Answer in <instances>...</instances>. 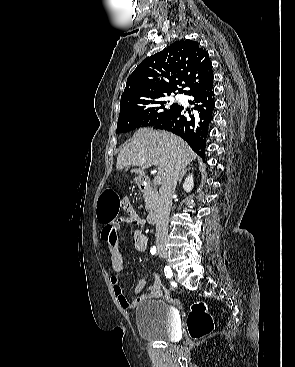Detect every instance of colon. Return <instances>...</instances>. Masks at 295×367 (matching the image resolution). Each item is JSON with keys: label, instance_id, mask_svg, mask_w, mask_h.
I'll use <instances>...</instances> for the list:
<instances>
[{"label": "colon", "instance_id": "colon-1", "mask_svg": "<svg viewBox=\"0 0 295 367\" xmlns=\"http://www.w3.org/2000/svg\"><path fill=\"white\" fill-rule=\"evenodd\" d=\"M120 208H123V201L111 187L103 189L100 196L98 218L101 223H109L117 219ZM187 327L193 339H201L210 334L214 329L212 316L207 307L202 302L192 305L187 316Z\"/></svg>", "mask_w": 295, "mask_h": 367}]
</instances>
